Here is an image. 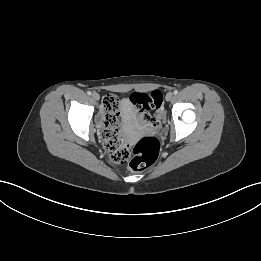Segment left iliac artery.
<instances>
[{
  "mask_svg": "<svg viewBox=\"0 0 261 261\" xmlns=\"http://www.w3.org/2000/svg\"><path fill=\"white\" fill-rule=\"evenodd\" d=\"M174 95H177L178 94V90H174Z\"/></svg>",
  "mask_w": 261,
  "mask_h": 261,
  "instance_id": "1",
  "label": "left iliac artery"
}]
</instances>
